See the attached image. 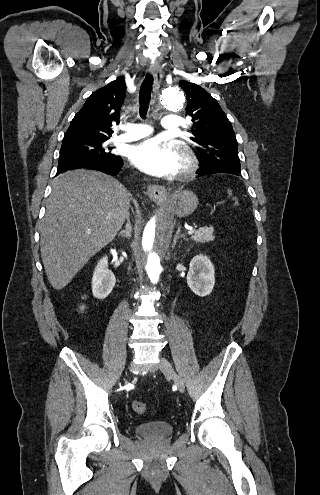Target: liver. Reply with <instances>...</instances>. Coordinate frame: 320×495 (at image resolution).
Segmentation results:
<instances>
[{
	"instance_id": "1",
	"label": "liver",
	"mask_w": 320,
	"mask_h": 495,
	"mask_svg": "<svg viewBox=\"0 0 320 495\" xmlns=\"http://www.w3.org/2000/svg\"><path fill=\"white\" fill-rule=\"evenodd\" d=\"M129 196L121 183L100 172L72 170L54 179L40 229V250L56 290L114 239L129 215Z\"/></svg>"
}]
</instances>
